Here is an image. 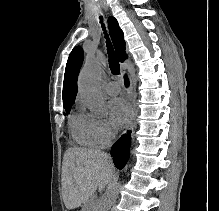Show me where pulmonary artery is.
I'll return each mask as SVG.
<instances>
[{
	"instance_id": "obj_1",
	"label": "pulmonary artery",
	"mask_w": 219,
	"mask_h": 211,
	"mask_svg": "<svg viewBox=\"0 0 219 211\" xmlns=\"http://www.w3.org/2000/svg\"><path fill=\"white\" fill-rule=\"evenodd\" d=\"M104 89L109 95H116L120 92L121 87L118 82L109 81L105 84Z\"/></svg>"
}]
</instances>
